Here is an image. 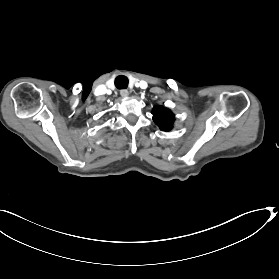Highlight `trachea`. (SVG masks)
<instances>
[{
    "label": "trachea",
    "mask_w": 279,
    "mask_h": 279,
    "mask_svg": "<svg viewBox=\"0 0 279 279\" xmlns=\"http://www.w3.org/2000/svg\"><path fill=\"white\" fill-rule=\"evenodd\" d=\"M115 86L118 89H126L128 86V78L124 75L117 76L115 79Z\"/></svg>",
    "instance_id": "obj_1"
}]
</instances>
